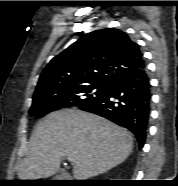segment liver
<instances>
[{
  "label": "liver",
  "instance_id": "liver-1",
  "mask_svg": "<svg viewBox=\"0 0 178 186\" xmlns=\"http://www.w3.org/2000/svg\"><path fill=\"white\" fill-rule=\"evenodd\" d=\"M133 149V138L124 128L78 109H61L38 122L26 157L18 164L22 180L56 174L62 158L73 159V175L86 180L124 162Z\"/></svg>",
  "mask_w": 178,
  "mask_h": 186
}]
</instances>
